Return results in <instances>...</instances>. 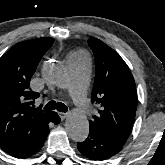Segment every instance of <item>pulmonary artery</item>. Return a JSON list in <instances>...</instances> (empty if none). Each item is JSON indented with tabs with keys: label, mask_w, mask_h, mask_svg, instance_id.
<instances>
[{
	"label": "pulmonary artery",
	"mask_w": 165,
	"mask_h": 165,
	"mask_svg": "<svg viewBox=\"0 0 165 165\" xmlns=\"http://www.w3.org/2000/svg\"><path fill=\"white\" fill-rule=\"evenodd\" d=\"M66 65L69 70V87L74 102L89 115L90 107L85 97V87L89 76L88 59L81 54H72L67 57Z\"/></svg>",
	"instance_id": "obj_1"
}]
</instances>
